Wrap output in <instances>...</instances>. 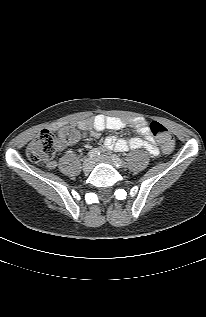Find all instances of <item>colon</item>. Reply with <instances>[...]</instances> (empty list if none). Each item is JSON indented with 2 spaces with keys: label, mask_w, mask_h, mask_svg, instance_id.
I'll use <instances>...</instances> for the list:
<instances>
[{
  "label": "colon",
  "mask_w": 206,
  "mask_h": 317,
  "mask_svg": "<svg viewBox=\"0 0 206 317\" xmlns=\"http://www.w3.org/2000/svg\"><path fill=\"white\" fill-rule=\"evenodd\" d=\"M151 134L156 138L165 151L172 150L174 137L172 133L161 123L153 121L149 126ZM78 137V132L72 127L60 130L59 138L66 142H72ZM57 139L49 130H42L39 135L29 144L27 148L28 158L35 163L49 161L55 154Z\"/></svg>",
  "instance_id": "1"
}]
</instances>
